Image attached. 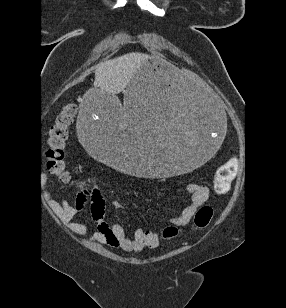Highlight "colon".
I'll return each instance as SVG.
<instances>
[{
  "mask_svg": "<svg viewBox=\"0 0 286 308\" xmlns=\"http://www.w3.org/2000/svg\"><path fill=\"white\" fill-rule=\"evenodd\" d=\"M76 109L77 105L75 103L65 104L49 131L48 149L46 151L47 167L50 173L64 184L70 180V172L65 161V147L69 140L70 128L76 116ZM238 166V159L231 158L219 167L213 181L215 192L225 193L229 190L237 174ZM212 216L213 209L210 206L200 207L195 214L192 229H205ZM178 232L175 227H166L163 231V237L170 239L177 236Z\"/></svg>",
  "mask_w": 286,
  "mask_h": 308,
  "instance_id": "5ec220e1",
  "label": "colon"
}]
</instances>
